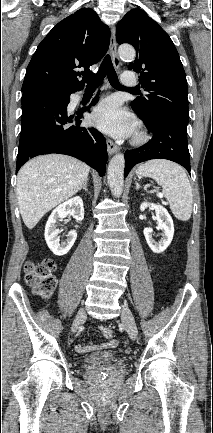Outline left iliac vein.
<instances>
[{"mask_svg": "<svg viewBox=\"0 0 213 433\" xmlns=\"http://www.w3.org/2000/svg\"><path fill=\"white\" fill-rule=\"evenodd\" d=\"M121 319L130 338L135 340L138 336V330L133 314L126 305L122 306Z\"/></svg>", "mask_w": 213, "mask_h": 433, "instance_id": "obj_1", "label": "left iliac vein"}]
</instances>
